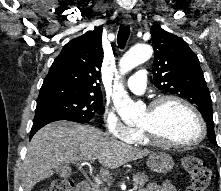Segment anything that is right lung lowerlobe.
Listing matches in <instances>:
<instances>
[{"instance_id":"right-lung-lower-lobe-1","label":"right lung lower lobe","mask_w":221,"mask_h":191,"mask_svg":"<svg viewBox=\"0 0 221 191\" xmlns=\"http://www.w3.org/2000/svg\"><path fill=\"white\" fill-rule=\"evenodd\" d=\"M58 120H65V119L49 108L43 106L36 107L33 126L30 132V139L40 128H42L46 124Z\"/></svg>"}]
</instances>
